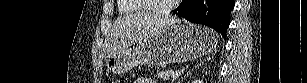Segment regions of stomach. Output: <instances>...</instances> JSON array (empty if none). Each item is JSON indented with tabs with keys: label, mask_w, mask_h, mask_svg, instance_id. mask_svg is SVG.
<instances>
[{
	"label": "stomach",
	"mask_w": 307,
	"mask_h": 83,
	"mask_svg": "<svg viewBox=\"0 0 307 83\" xmlns=\"http://www.w3.org/2000/svg\"><path fill=\"white\" fill-rule=\"evenodd\" d=\"M218 36L212 30L195 25L173 24L139 42L138 46L105 55V64L114 74H124L137 65L186 62L211 52Z\"/></svg>",
	"instance_id": "stomach-1"
}]
</instances>
